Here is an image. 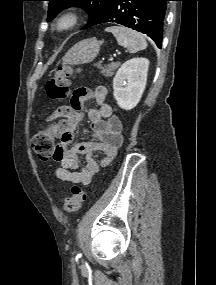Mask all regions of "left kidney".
Wrapping results in <instances>:
<instances>
[{
    "mask_svg": "<svg viewBox=\"0 0 216 285\" xmlns=\"http://www.w3.org/2000/svg\"><path fill=\"white\" fill-rule=\"evenodd\" d=\"M149 60L133 58L119 68L113 79V95L124 110H131L139 103L146 87Z\"/></svg>",
    "mask_w": 216,
    "mask_h": 285,
    "instance_id": "obj_1",
    "label": "left kidney"
}]
</instances>
